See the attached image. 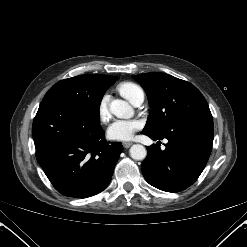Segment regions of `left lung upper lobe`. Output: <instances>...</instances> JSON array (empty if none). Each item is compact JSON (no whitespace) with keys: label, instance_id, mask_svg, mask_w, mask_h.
<instances>
[{"label":"left lung upper lobe","instance_id":"1","mask_svg":"<svg viewBox=\"0 0 247 247\" xmlns=\"http://www.w3.org/2000/svg\"><path fill=\"white\" fill-rule=\"evenodd\" d=\"M133 77L141 83L153 109L143 133L163 135L193 118L212 116L204 96L187 81L157 72Z\"/></svg>","mask_w":247,"mask_h":247}]
</instances>
